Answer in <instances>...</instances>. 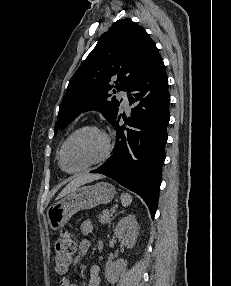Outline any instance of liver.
Segmentation results:
<instances>
[{
    "instance_id": "liver-1",
    "label": "liver",
    "mask_w": 231,
    "mask_h": 286,
    "mask_svg": "<svg viewBox=\"0 0 231 286\" xmlns=\"http://www.w3.org/2000/svg\"><path fill=\"white\" fill-rule=\"evenodd\" d=\"M102 175H94V174H85V175H80L78 177H76L74 180H72L62 191L61 193L57 196L56 199H60L66 195H68L69 193H71L72 191H74L75 189H77L78 187H80L81 185L94 181V180H98L101 179Z\"/></svg>"
}]
</instances>
